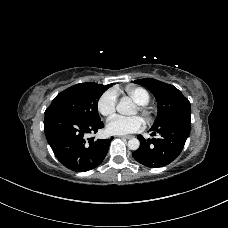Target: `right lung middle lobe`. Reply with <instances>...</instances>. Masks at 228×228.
Wrapping results in <instances>:
<instances>
[{
  "label": "right lung middle lobe",
  "mask_w": 228,
  "mask_h": 228,
  "mask_svg": "<svg viewBox=\"0 0 228 228\" xmlns=\"http://www.w3.org/2000/svg\"><path fill=\"white\" fill-rule=\"evenodd\" d=\"M108 88L92 82L76 84L59 93L46 111L61 110L85 121L100 120L97 103Z\"/></svg>",
  "instance_id": "dd1d6c3e"
}]
</instances>
